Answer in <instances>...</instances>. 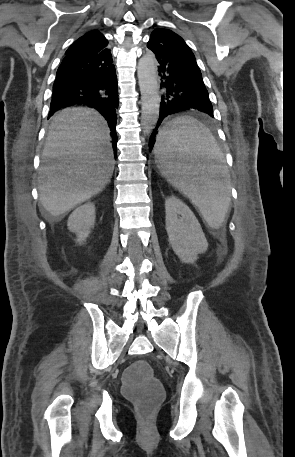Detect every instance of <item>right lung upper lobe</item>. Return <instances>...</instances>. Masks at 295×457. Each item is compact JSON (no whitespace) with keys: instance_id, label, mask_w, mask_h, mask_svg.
Instances as JSON below:
<instances>
[{"instance_id":"obj_1","label":"right lung upper lobe","mask_w":295,"mask_h":457,"mask_svg":"<svg viewBox=\"0 0 295 457\" xmlns=\"http://www.w3.org/2000/svg\"><path fill=\"white\" fill-rule=\"evenodd\" d=\"M108 45L107 39L97 30L87 32L77 39L66 51L65 58L87 56L98 53Z\"/></svg>"}]
</instances>
